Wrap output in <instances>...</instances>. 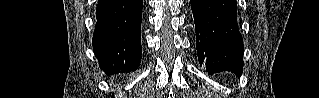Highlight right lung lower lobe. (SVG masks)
I'll use <instances>...</instances> for the list:
<instances>
[{"instance_id": "98d812e1", "label": "right lung lower lobe", "mask_w": 319, "mask_h": 98, "mask_svg": "<svg viewBox=\"0 0 319 98\" xmlns=\"http://www.w3.org/2000/svg\"><path fill=\"white\" fill-rule=\"evenodd\" d=\"M143 0H99L93 51L107 74L135 71L141 60Z\"/></svg>"}]
</instances>
